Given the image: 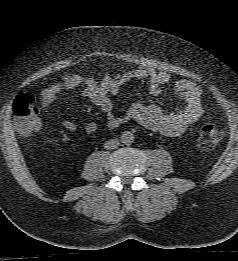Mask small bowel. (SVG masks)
<instances>
[{"label": "small bowel", "instance_id": "c3829d8e", "mask_svg": "<svg viewBox=\"0 0 238 261\" xmlns=\"http://www.w3.org/2000/svg\"><path fill=\"white\" fill-rule=\"evenodd\" d=\"M135 79L147 80L151 93L158 95L162 92L163 86L170 81V75L165 71L157 72L146 66L123 72L115 77L106 76L101 82L82 74H68L41 92L40 105L44 109L61 92L83 86L82 95L91 100L106 114L109 130H115L130 121H134L146 129L170 137L181 135L202 116L201 88L195 82L186 79L179 80L174 84L176 94L184 101L182 109L166 112L156 104L133 103L123 115H116L113 97L121 87ZM63 128L67 131H75L77 124L67 120L63 123ZM84 130L88 134H93L98 130V126L96 123L90 122L85 124Z\"/></svg>", "mask_w": 238, "mask_h": 261}]
</instances>
